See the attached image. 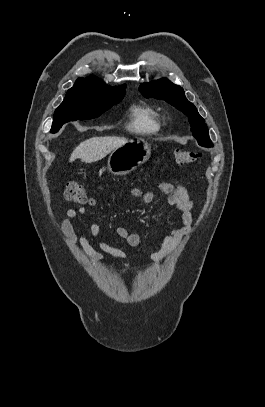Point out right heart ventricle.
Instances as JSON below:
<instances>
[{"label":"right heart ventricle","mask_w":265,"mask_h":407,"mask_svg":"<svg viewBox=\"0 0 265 407\" xmlns=\"http://www.w3.org/2000/svg\"><path fill=\"white\" fill-rule=\"evenodd\" d=\"M128 128L138 135H152L160 130L161 122L152 107L135 104L130 109Z\"/></svg>","instance_id":"right-heart-ventricle-1"}]
</instances>
